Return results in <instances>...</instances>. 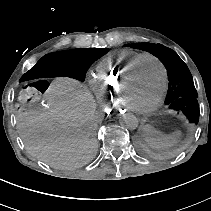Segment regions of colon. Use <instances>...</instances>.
<instances>
[{
	"instance_id": "colon-1",
	"label": "colon",
	"mask_w": 211,
	"mask_h": 211,
	"mask_svg": "<svg viewBox=\"0 0 211 211\" xmlns=\"http://www.w3.org/2000/svg\"><path fill=\"white\" fill-rule=\"evenodd\" d=\"M46 80H37L24 86L19 94V101L23 104L38 101L48 90Z\"/></svg>"
}]
</instances>
